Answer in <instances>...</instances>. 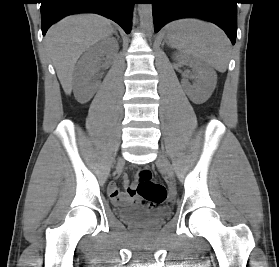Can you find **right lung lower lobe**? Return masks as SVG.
I'll use <instances>...</instances> for the list:
<instances>
[{
    "label": "right lung lower lobe",
    "mask_w": 279,
    "mask_h": 267,
    "mask_svg": "<svg viewBox=\"0 0 279 267\" xmlns=\"http://www.w3.org/2000/svg\"><path fill=\"white\" fill-rule=\"evenodd\" d=\"M134 0H42V34L61 18L80 12L103 15L118 23L126 33L131 30Z\"/></svg>",
    "instance_id": "1"
}]
</instances>
